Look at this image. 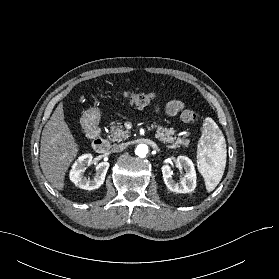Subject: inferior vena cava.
Returning <instances> with one entry per match:
<instances>
[{
    "mask_svg": "<svg viewBox=\"0 0 279 279\" xmlns=\"http://www.w3.org/2000/svg\"><path fill=\"white\" fill-rule=\"evenodd\" d=\"M124 149V144H116L113 146L112 151L117 153Z\"/></svg>",
    "mask_w": 279,
    "mask_h": 279,
    "instance_id": "1",
    "label": "inferior vena cava"
}]
</instances>
